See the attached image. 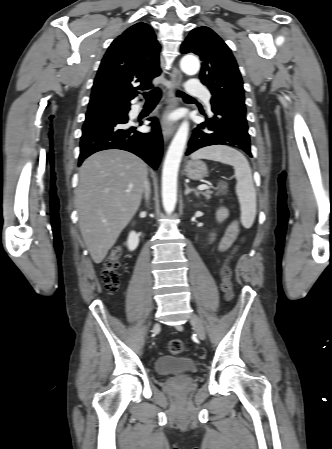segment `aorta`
<instances>
[{
	"mask_svg": "<svg viewBox=\"0 0 332 449\" xmlns=\"http://www.w3.org/2000/svg\"><path fill=\"white\" fill-rule=\"evenodd\" d=\"M180 67L188 75H195L200 69L198 58L186 55ZM189 133L188 121L182 122L165 157L162 170V203L167 213L174 211L177 202V176Z\"/></svg>",
	"mask_w": 332,
	"mask_h": 449,
	"instance_id": "1",
	"label": "aorta"
}]
</instances>
